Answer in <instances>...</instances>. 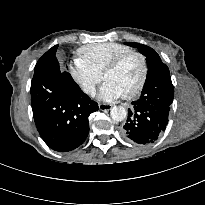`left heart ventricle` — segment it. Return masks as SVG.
Wrapping results in <instances>:
<instances>
[{
    "label": "left heart ventricle",
    "mask_w": 205,
    "mask_h": 205,
    "mask_svg": "<svg viewBox=\"0 0 205 205\" xmlns=\"http://www.w3.org/2000/svg\"><path fill=\"white\" fill-rule=\"evenodd\" d=\"M141 75V64L137 57L127 58L117 69L105 76L108 81L121 90L123 94L130 92L137 85Z\"/></svg>",
    "instance_id": "left-heart-ventricle-1"
}]
</instances>
